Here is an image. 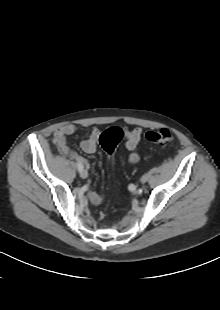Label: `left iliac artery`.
<instances>
[{"label":"left iliac artery","instance_id":"left-iliac-artery-1","mask_svg":"<svg viewBox=\"0 0 220 310\" xmlns=\"http://www.w3.org/2000/svg\"><path fill=\"white\" fill-rule=\"evenodd\" d=\"M136 185H134V184H130L129 186H128V189H129V191H131V192H134L135 190H136Z\"/></svg>","mask_w":220,"mask_h":310}]
</instances>
